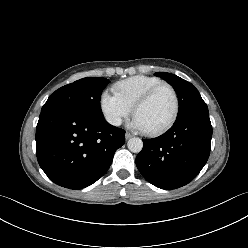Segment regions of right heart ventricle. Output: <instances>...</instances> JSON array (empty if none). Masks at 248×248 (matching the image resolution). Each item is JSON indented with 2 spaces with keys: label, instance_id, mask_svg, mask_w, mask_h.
<instances>
[{
  "label": "right heart ventricle",
  "instance_id": "obj_1",
  "mask_svg": "<svg viewBox=\"0 0 248 248\" xmlns=\"http://www.w3.org/2000/svg\"><path fill=\"white\" fill-rule=\"evenodd\" d=\"M161 82L156 77L137 75L115 83L112 90L118 98L132 109L135 102L146 91Z\"/></svg>",
  "mask_w": 248,
  "mask_h": 248
}]
</instances>
